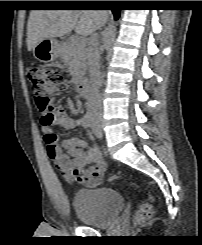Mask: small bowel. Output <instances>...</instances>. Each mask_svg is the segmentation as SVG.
<instances>
[{
    "mask_svg": "<svg viewBox=\"0 0 202 245\" xmlns=\"http://www.w3.org/2000/svg\"><path fill=\"white\" fill-rule=\"evenodd\" d=\"M74 111L76 113L82 111V102L80 100L76 101ZM54 114L66 129L83 126L81 119H69L62 108H56ZM51 126L41 122L43 140L50 158L56 163L63 177L85 187H95L100 184L104 166L99 148L97 146H89L85 140L78 137L64 139L59 142L58 135L52 131ZM53 147L57 148L55 156L50 154V150ZM62 149H66L68 153H64Z\"/></svg>",
    "mask_w": 202,
    "mask_h": 245,
    "instance_id": "obj_1",
    "label": "small bowel"
}]
</instances>
